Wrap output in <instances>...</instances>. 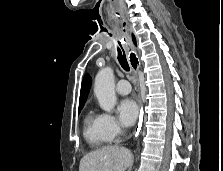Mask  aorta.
Listing matches in <instances>:
<instances>
[{"instance_id": "obj_1", "label": "aorta", "mask_w": 223, "mask_h": 171, "mask_svg": "<svg viewBox=\"0 0 223 171\" xmlns=\"http://www.w3.org/2000/svg\"><path fill=\"white\" fill-rule=\"evenodd\" d=\"M94 94L98 99L100 107L106 112H112L116 105L114 91V72L111 67L101 69L94 82Z\"/></svg>"}]
</instances>
